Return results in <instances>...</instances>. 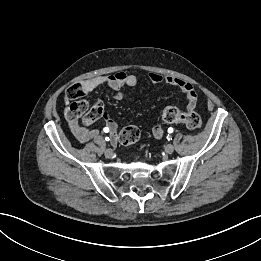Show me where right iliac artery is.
Wrapping results in <instances>:
<instances>
[{"mask_svg": "<svg viewBox=\"0 0 261 261\" xmlns=\"http://www.w3.org/2000/svg\"><path fill=\"white\" fill-rule=\"evenodd\" d=\"M108 130H109V129H107V128H104V131H105V132H108ZM105 140H106V141H109V140H110V138H109V137H105Z\"/></svg>", "mask_w": 261, "mask_h": 261, "instance_id": "82829eb1", "label": "right iliac artery"}]
</instances>
